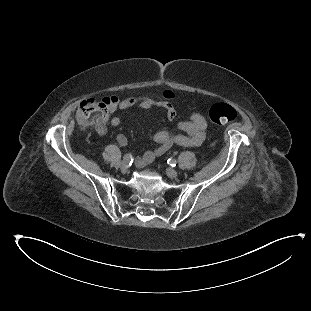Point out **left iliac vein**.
I'll list each match as a JSON object with an SVG mask.
<instances>
[{
    "instance_id": "4c4485c4",
    "label": "left iliac vein",
    "mask_w": 311,
    "mask_h": 311,
    "mask_svg": "<svg viewBox=\"0 0 311 311\" xmlns=\"http://www.w3.org/2000/svg\"><path fill=\"white\" fill-rule=\"evenodd\" d=\"M166 174L170 178H176L178 176V172L176 170L172 169V168H168L166 170Z\"/></svg>"
}]
</instances>
